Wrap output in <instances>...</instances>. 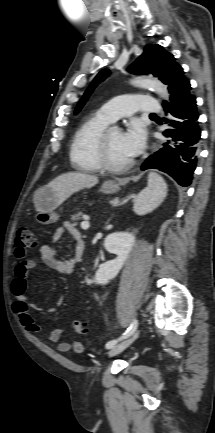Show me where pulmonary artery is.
Returning <instances> with one entry per match:
<instances>
[{
  "label": "pulmonary artery",
  "mask_w": 215,
  "mask_h": 433,
  "mask_svg": "<svg viewBox=\"0 0 215 433\" xmlns=\"http://www.w3.org/2000/svg\"><path fill=\"white\" fill-rule=\"evenodd\" d=\"M162 111V106L150 95L128 94L116 97L105 103L99 112L109 121L132 115L136 112L155 114Z\"/></svg>",
  "instance_id": "e3ab8cb5"
}]
</instances>
